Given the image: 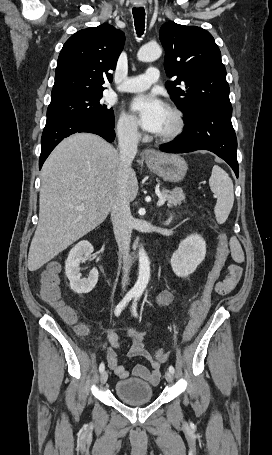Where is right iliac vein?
<instances>
[{
    "instance_id": "63e3f726",
    "label": "right iliac vein",
    "mask_w": 272,
    "mask_h": 455,
    "mask_svg": "<svg viewBox=\"0 0 272 455\" xmlns=\"http://www.w3.org/2000/svg\"><path fill=\"white\" fill-rule=\"evenodd\" d=\"M107 379H108V372L107 371H103L101 373V376H100L101 384H105L107 382Z\"/></svg>"
}]
</instances>
